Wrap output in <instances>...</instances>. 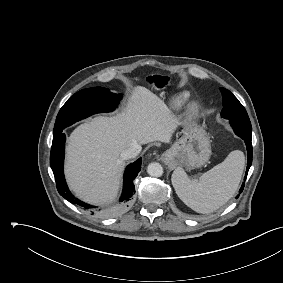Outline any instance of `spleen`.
<instances>
[{"mask_svg": "<svg viewBox=\"0 0 283 283\" xmlns=\"http://www.w3.org/2000/svg\"><path fill=\"white\" fill-rule=\"evenodd\" d=\"M245 158L242 151L229 153L226 159L202 174L190 179L183 168L172 174V184L178 197L192 210L207 214L225 204L238 189Z\"/></svg>", "mask_w": 283, "mask_h": 283, "instance_id": "obj_1", "label": "spleen"}]
</instances>
